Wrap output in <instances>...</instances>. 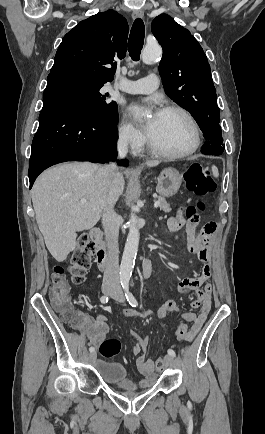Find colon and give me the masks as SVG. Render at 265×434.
I'll return each instance as SVG.
<instances>
[{
  "label": "colon",
  "instance_id": "1",
  "mask_svg": "<svg viewBox=\"0 0 265 434\" xmlns=\"http://www.w3.org/2000/svg\"><path fill=\"white\" fill-rule=\"evenodd\" d=\"M187 189L189 192L198 196H211L216 190V184L212 178L211 170L199 165H191L184 173ZM205 208L201 202L191 206L186 217L190 218L199 211ZM73 264L67 269L64 265L58 264L54 267L51 273L48 291L54 308L60 313L59 319L66 324H72L74 319L72 307L67 299L68 285L66 282V273L70 270L73 281L76 284L84 282L85 277L91 267L92 256L85 251H77L72 257ZM191 332L189 326L185 323L181 324L177 331L179 340H188ZM121 350V343L117 339L105 340L99 347L100 354L105 358H111L118 355ZM157 368L163 369L164 357H157Z\"/></svg>",
  "mask_w": 265,
  "mask_h": 434
}]
</instances>
